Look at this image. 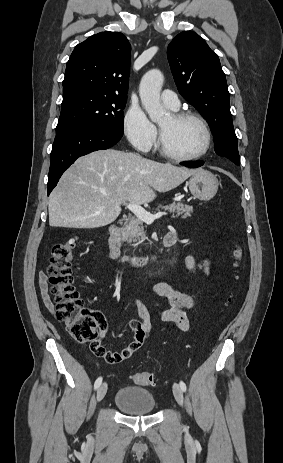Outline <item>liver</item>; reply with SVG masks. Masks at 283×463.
Listing matches in <instances>:
<instances>
[{"instance_id": "liver-1", "label": "liver", "mask_w": 283, "mask_h": 463, "mask_svg": "<svg viewBox=\"0 0 283 463\" xmlns=\"http://www.w3.org/2000/svg\"><path fill=\"white\" fill-rule=\"evenodd\" d=\"M197 171L114 149L89 153L76 160L50 194L49 225L106 226L120 215L122 203L152 202L156 191H170Z\"/></svg>"}]
</instances>
